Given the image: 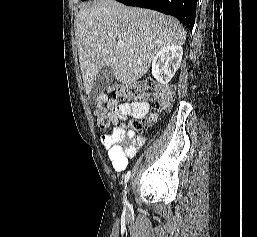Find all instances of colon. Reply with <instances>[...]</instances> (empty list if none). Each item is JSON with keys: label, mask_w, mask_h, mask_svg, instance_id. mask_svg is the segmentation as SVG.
Returning <instances> with one entry per match:
<instances>
[{"label": "colon", "mask_w": 257, "mask_h": 237, "mask_svg": "<svg viewBox=\"0 0 257 237\" xmlns=\"http://www.w3.org/2000/svg\"><path fill=\"white\" fill-rule=\"evenodd\" d=\"M117 95V100L109 101L107 106L104 104L107 102V95L101 94L98 98V105L95 110L97 117L98 127L102 131H106L111 118L110 109L117 105L116 101H132V100H149L156 102L155 114L165 109L172 97L171 89L169 87H159L152 83H141L133 85H119L114 90ZM130 128L134 130H140L143 127V123L133 120L129 123ZM124 132L111 135H103V141L106 144L113 145L115 143L124 140Z\"/></svg>", "instance_id": "1"}]
</instances>
